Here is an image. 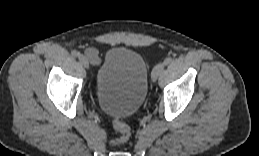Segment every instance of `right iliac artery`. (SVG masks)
I'll use <instances>...</instances> for the list:
<instances>
[{
	"mask_svg": "<svg viewBox=\"0 0 259 156\" xmlns=\"http://www.w3.org/2000/svg\"><path fill=\"white\" fill-rule=\"evenodd\" d=\"M71 54H72V56H74V57L80 56V53H79L78 51H76V50H73V51L71 52Z\"/></svg>",
	"mask_w": 259,
	"mask_h": 156,
	"instance_id": "right-iliac-artery-1",
	"label": "right iliac artery"
}]
</instances>
